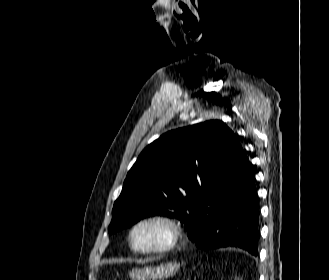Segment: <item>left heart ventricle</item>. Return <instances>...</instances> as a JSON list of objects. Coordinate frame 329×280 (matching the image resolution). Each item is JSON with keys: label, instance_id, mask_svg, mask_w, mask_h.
<instances>
[{"label": "left heart ventricle", "instance_id": "left-heart-ventricle-1", "mask_svg": "<svg viewBox=\"0 0 329 280\" xmlns=\"http://www.w3.org/2000/svg\"><path fill=\"white\" fill-rule=\"evenodd\" d=\"M168 239V230L159 223H148L140 226L133 235L136 248L146 249L163 245Z\"/></svg>", "mask_w": 329, "mask_h": 280}]
</instances>
